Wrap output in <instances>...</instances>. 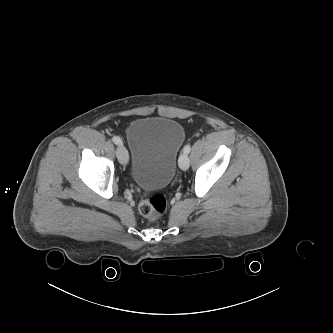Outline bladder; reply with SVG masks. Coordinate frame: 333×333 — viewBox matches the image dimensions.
<instances>
[{
    "label": "bladder",
    "instance_id": "1",
    "mask_svg": "<svg viewBox=\"0 0 333 333\" xmlns=\"http://www.w3.org/2000/svg\"><path fill=\"white\" fill-rule=\"evenodd\" d=\"M184 140L185 130L176 120L162 117L135 120L127 130L133 181L144 189L166 187L174 177Z\"/></svg>",
    "mask_w": 333,
    "mask_h": 333
}]
</instances>
